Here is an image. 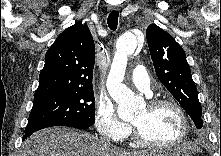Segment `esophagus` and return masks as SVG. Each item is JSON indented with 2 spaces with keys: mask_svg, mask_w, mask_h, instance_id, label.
I'll list each match as a JSON object with an SVG mask.
<instances>
[{
  "mask_svg": "<svg viewBox=\"0 0 221 156\" xmlns=\"http://www.w3.org/2000/svg\"><path fill=\"white\" fill-rule=\"evenodd\" d=\"M119 8L117 7V6H115V7H111V10H113V11H117Z\"/></svg>",
  "mask_w": 221,
  "mask_h": 156,
  "instance_id": "1",
  "label": "esophagus"
}]
</instances>
